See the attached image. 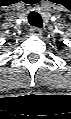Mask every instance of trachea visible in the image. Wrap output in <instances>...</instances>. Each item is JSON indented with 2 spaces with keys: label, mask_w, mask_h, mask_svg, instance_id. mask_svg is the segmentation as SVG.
Here are the masks:
<instances>
[{
  "label": "trachea",
  "mask_w": 71,
  "mask_h": 119,
  "mask_svg": "<svg viewBox=\"0 0 71 119\" xmlns=\"http://www.w3.org/2000/svg\"><path fill=\"white\" fill-rule=\"evenodd\" d=\"M28 22L30 25L41 28L43 26L42 17L39 13L32 11L28 15Z\"/></svg>",
  "instance_id": "obj_1"
}]
</instances>
